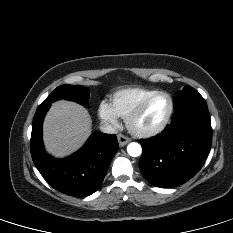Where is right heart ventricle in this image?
Wrapping results in <instances>:
<instances>
[{"instance_id": "right-heart-ventricle-1", "label": "right heart ventricle", "mask_w": 233, "mask_h": 233, "mask_svg": "<svg viewBox=\"0 0 233 233\" xmlns=\"http://www.w3.org/2000/svg\"><path fill=\"white\" fill-rule=\"evenodd\" d=\"M156 91L145 87L123 88L113 93L110 105L118 117L126 119L144 98Z\"/></svg>"}]
</instances>
